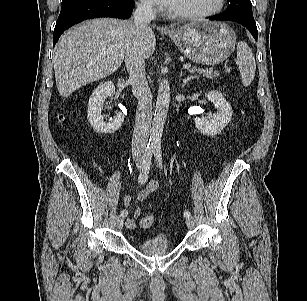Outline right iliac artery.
I'll return each mask as SVG.
<instances>
[{
  "label": "right iliac artery",
  "mask_w": 307,
  "mask_h": 301,
  "mask_svg": "<svg viewBox=\"0 0 307 301\" xmlns=\"http://www.w3.org/2000/svg\"><path fill=\"white\" fill-rule=\"evenodd\" d=\"M153 152L154 147L147 146L143 156V166L138 177V183L140 184H144L148 180V174L152 163ZM127 214L128 212L126 210L121 211V216L126 217Z\"/></svg>",
  "instance_id": "right-iliac-artery-1"
}]
</instances>
